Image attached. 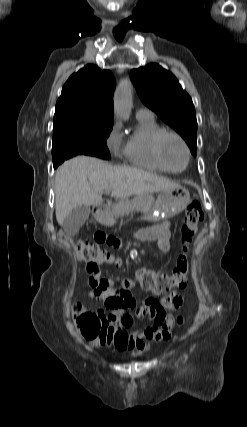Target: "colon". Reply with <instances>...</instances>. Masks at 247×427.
I'll use <instances>...</instances> for the list:
<instances>
[{"instance_id": "1", "label": "colon", "mask_w": 247, "mask_h": 427, "mask_svg": "<svg viewBox=\"0 0 247 427\" xmlns=\"http://www.w3.org/2000/svg\"><path fill=\"white\" fill-rule=\"evenodd\" d=\"M204 218L201 205L192 202L186 209L184 223L181 228V239L184 253L179 256L176 267L171 274H164L148 268H140L136 272V279L143 290L156 295L169 293L174 288H183L187 282L188 259L186 252L199 231V224ZM117 239V238H116ZM76 253L80 261L87 263H111L116 266L121 260L98 246L96 243L78 241ZM73 319L83 337L91 342H103L106 331L105 326L93 311L85 309L81 304H76L73 309ZM178 323L183 322L178 317Z\"/></svg>"}]
</instances>
